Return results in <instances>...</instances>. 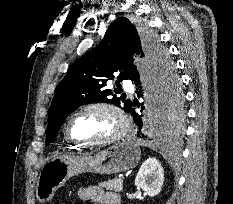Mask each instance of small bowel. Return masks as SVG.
I'll list each match as a JSON object with an SVG mask.
<instances>
[{
  "label": "small bowel",
  "instance_id": "small-bowel-1",
  "mask_svg": "<svg viewBox=\"0 0 233 204\" xmlns=\"http://www.w3.org/2000/svg\"><path fill=\"white\" fill-rule=\"evenodd\" d=\"M79 197L82 200H88L95 204H120L118 194L105 191L98 186H89L79 190Z\"/></svg>",
  "mask_w": 233,
  "mask_h": 204
}]
</instances>
